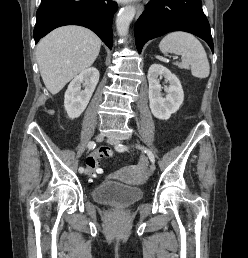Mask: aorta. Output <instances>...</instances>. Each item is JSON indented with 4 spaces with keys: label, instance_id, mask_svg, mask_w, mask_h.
Returning a JSON list of instances; mask_svg holds the SVG:
<instances>
[{
    "label": "aorta",
    "instance_id": "obj_1",
    "mask_svg": "<svg viewBox=\"0 0 248 258\" xmlns=\"http://www.w3.org/2000/svg\"><path fill=\"white\" fill-rule=\"evenodd\" d=\"M136 13L134 6H126L118 13L116 18V29L118 35L127 36L129 26Z\"/></svg>",
    "mask_w": 248,
    "mask_h": 258
}]
</instances>
